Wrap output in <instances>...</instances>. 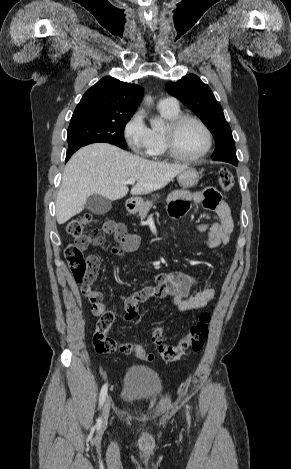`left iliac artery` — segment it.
<instances>
[{
  "label": "left iliac artery",
  "mask_w": 291,
  "mask_h": 469,
  "mask_svg": "<svg viewBox=\"0 0 291 469\" xmlns=\"http://www.w3.org/2000/svg\"><path fill=\"white\" fill-rule=\"evenodd\" d=\"M186 408L188 409V406L186 405ZM187 420H188V423H190V415H189V411L187 410Z\"/></svg>",
  "instance_id": "left-iliac-artery-1"
}]
</instances>
